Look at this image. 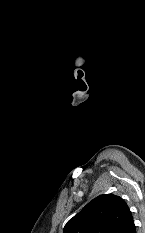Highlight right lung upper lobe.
<instances>
[{"instance_id":"cb5924a9","label":"right lung upper lobe","mask_w":145,"mask_h":233,"mask_svg":"<svg viewBox=\"0 0 145 233\" xmlns=\"http://www.w3.org/2000/svg\"><path fill=\"white\" fill-rule=\"evenodd\" d=\"M131 211L119 196L104 194L68 221L64 233H134Z\"/></svg>"}]
</instances>
